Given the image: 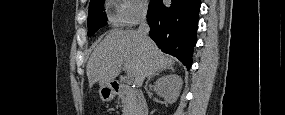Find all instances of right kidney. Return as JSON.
<instances>
[{
    "mask_svg": "<svg viewBox=\"0 0 285 115\" xmlns=\"http://www.w3.org/2000/svg\"><path fill=\"white\" fill-rule=\"evenodd\" d=\"M181 87L182 78L177 74H170L159 78L154 85V90L157 95L172 104L177 100Z\"/></svg>",
    "mask_w": 285,
    "mask_h": 115,
    "instance_id": "1",
    "label": "right kidney"
}]
</instances>
